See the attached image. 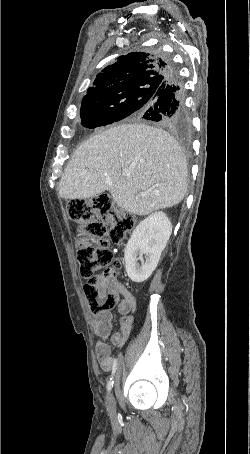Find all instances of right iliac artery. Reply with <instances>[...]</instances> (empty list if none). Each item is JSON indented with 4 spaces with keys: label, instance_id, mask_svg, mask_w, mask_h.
<instances>
[{
    "label": "right iliac artery",
    "instance_id": "obj_1",
    "mask_svg": "<svg viewBox=\"0 0 250 454\" xmlns=\"http://www.w3.org/2000/svg\"><path fill=\"white\" fill-rule=\"evenodd\" d=\"M116 369H117V359H114V362H113V367H112V375L108 381V384H107V392L109 393L113 387V384H114V381H113V378H114V374L116 372Z\"/></svg>",
    "mask_w": 250,
    "mask_h": 454
}]
</instances>
